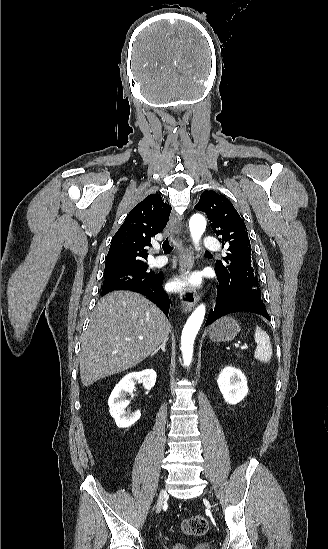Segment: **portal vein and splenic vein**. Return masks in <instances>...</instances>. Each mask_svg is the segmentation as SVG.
I'll return each instance as SVG.
<instances>
[{"label":"portal vein and splenic vein","mask_w":328,"mask_h":549,"mask_svg":"<svg viewBox=\"0 0 328 549\" xmlns=\"http://www.w3.org/2000/svg\"><path fill=\"white\" fill-rule=\"evenodd\" d=\"M138 339H143V337H138ZM235 347H239V345H235ZM247 348H248V345H244V347L239 348V351L247 350Z\"/></svg>","instance_id":"18ae733b"}]
</instances>
